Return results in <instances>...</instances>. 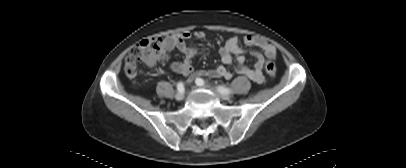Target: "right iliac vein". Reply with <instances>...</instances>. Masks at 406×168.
I'll list each match as a JSON object with an SVG mask.
<instances>
[{
  "instance_id": "obj_1",
  "label": "right iliac vein",
  "mask_w": 406,
  "mask_h": 168,
  "mask_svg": "<svg viewBox=\"0 0 406 168\" xmlns=\"http://www.w3.org/2000/svg\"><path fill=\"white\" fill-rule=\"evenodd\" d=\"M183 98H184V93H177V94L175 95V99H176L177 101H181V100H183Z\"/></svg>"
}]
</instances>
